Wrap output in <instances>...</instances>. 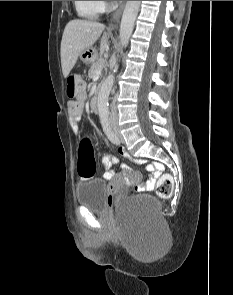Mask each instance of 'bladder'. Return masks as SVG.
Wrapping results in <instances>:
<instances>
[{"instance_id":"1","label":"bladder","mask_w":233,"mask_h":295,"mask_svg":"<svg viewBox=\"0 0 233 295\" xmlns=\"http://www.w3.org/2000/svg\"><path fill=\"white\" fill-rule=\"evenodd\" d=\"M75 192L79 205L98 213H106L108 211L106 202L108 189L105 181L102 179L89 178L81 181L77 183ZM122 208L125 213L134 214L152 221L159 217L160 205L153 196L139 194L124 201Z\"/></svg>"}]
</instances>
